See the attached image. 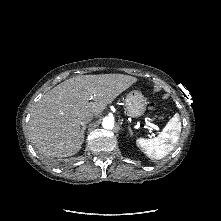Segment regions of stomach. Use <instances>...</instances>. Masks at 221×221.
<instances>
[{"label":"stomach","instance_id":"stomach-1","mask_svg":"<svg viewBox=\"0 0 221 221\" xmlns=\"http://www.w3.org/2000/svg\"><path fill=\"white\" fill-rule=\"evenodd\" d=\"M147 101L140 91L129 92L125 99V110L127 115L132 118L142 116L146 110Z\"/></svg>","mask_w":221,"mask_h":221}]
</instances>
